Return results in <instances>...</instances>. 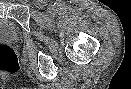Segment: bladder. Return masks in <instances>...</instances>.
<instances>
[{"label": "bladder", "instance_id": "31cf9c89", "mask_svg": "<svg viewBox=\"0 0 131 89\" xmlns=\"http://www.w3.org/2000/svg\"><path fill=\"white\" fill-rule=\"evenodd\" d=\"M19 38V29L14 22L8 19H0V40L14 43Z\"/></svg>", "mask_w": 131, "mask_h": 89}]
</instances>
